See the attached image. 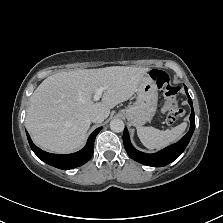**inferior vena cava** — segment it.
Instances as JSON below:
<instances>
[{"label":"inferior vena cava","mask_w":223,"mask_h":223,"mask_svg":"<svg viewBox=\"0 0 223 223\" xmlns=\"http://www.w3.org/2000/svg\"><path fill=\"white\" fill-rule=\"evenodd\" d=\"M90 120L94 123H101L104 121V115L100 112L90 113Z\"/></svg>","instance_id":"inferior-vena-cava-1"}]
</instances>
